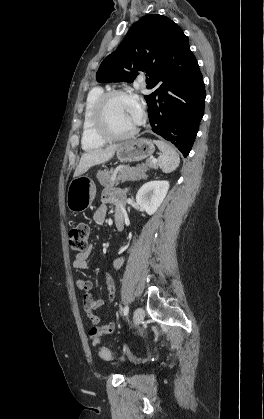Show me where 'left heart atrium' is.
Wrapping results in <instances>:
<instances>
[{"label": "left heart atrium", "instance_id": "obj_1", "mask_svg": "<svg viewBox=\"0 0 264 419\" xmlns=\"http://www.w3.org/2000/svg\"><path fill=\"white\" fill-rule=\"evenodd\" d=\"M132 114L135 124H139L143 119V109L141 103L136 99H132Z\"/></svg>", "mask_w": 264, "mask_h": 419}]
</instances>
